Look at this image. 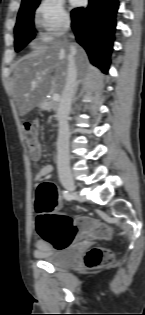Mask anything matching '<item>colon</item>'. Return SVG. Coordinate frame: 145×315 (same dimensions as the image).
<instances>
[{
  "instance_id": "1",
  "label": "colon",
  "mask_w": 145,
  "mask_h": 315,
  "mask_svg": "<svg viewBox=\"0 0 145 315\" xmlns=\"http://www.w3.org/2000/svg\"><path fill=\"white\" fill-rule=\"evenodd\" d=\"M23 132L31 154L37 155L40 150L37 130L32 123L23 125ZM59 204L57 186L52 182L41 183L36 190L35 209L38 214L36 227L41 238L57 249L67 247L79 238L102 239L109 236V229L101 222L81 217H70L56 212ZM111 253L94 247L84 257L87 268L95 269L109 264Z\"/></svg>"
}]
</instances>
